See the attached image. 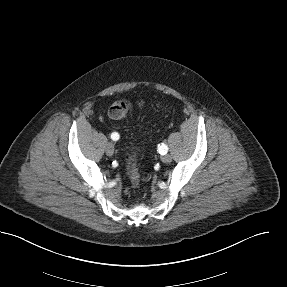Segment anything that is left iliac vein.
Wrapping results in <instances>:
<instances>
[{
    "label": "left iliac vein",
    "instance_id": "left-iliac-vein-1",
    "mask_svg": "<svg viewBox=\"0 0 287 287\" xmlns=\"http://www.w3.org/2000/svg\"><path fill=\"white\" fill-rule=\"evenodd\" d=\"M161 160L164 163H169V162H171L172 157L169 154H164V155H162Z\"/></svg>",
    "mask_w": 287,
    "mask_h": 287
}]
</instances>
